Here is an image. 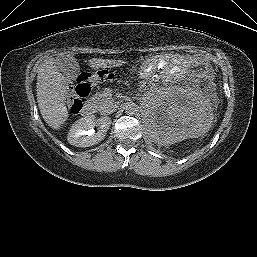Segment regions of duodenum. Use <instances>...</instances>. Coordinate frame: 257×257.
<instances>
[{
	"instance_id": "1",
	"label": "duodenum",
	"mask_w": 257,
	"mask_h": 257,
	"mask_svg": "<svg viewBox=\"0 0 257 257\" xmlns=\"http://www.w3.org/2000/svg\"><path fill=\"white\" fill-rule=\"evenodd\" d=\"M84 116L91 117L96 113V106L92 102H86L82 108Z\"/></svg>"
}]
</instances>
